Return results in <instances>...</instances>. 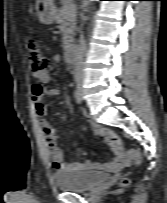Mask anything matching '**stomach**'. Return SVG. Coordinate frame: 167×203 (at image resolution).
Listing matches in <instances>:
<instances>
[{"label": "stomach", "mask_w": 167, "mask_h": 203, "mask_svg": "<svg viewBox=\"0 0 167 203\" xmlns=\"http://www.w3.org/2000/svg\"><path fill=\"white\" fill-rule=\"evenodd\" d=\"M37 15L43 24H51L56 20L57 13L52 0H45L43 5L37 2Z\"/></svg>", "instance_id": "obj_1"}]
</instances>
